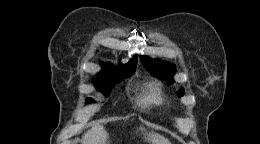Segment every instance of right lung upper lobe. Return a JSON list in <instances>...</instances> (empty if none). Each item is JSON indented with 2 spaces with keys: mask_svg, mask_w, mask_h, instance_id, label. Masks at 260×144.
<instances>
[{
  "mask_svg": "<svg viewBox=\"0 0 260 144\" xmlns=\"http://www.w3.org/2000/svg\"><path fill=\"white\" fill-rule=\"evenodd\" d=\"M137 65V57L134 56L126 65L119 64L115 67L111 64H103V70L99 73L98 77H105L110 75H120L130 71H135Z\"/></svg>",
  "mask_w": 260,
  "mask_h": 144,
  "instance_id": "cb5924a9",
  "label": "right lung upper lobe"
}]
</instances>
